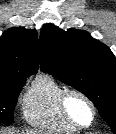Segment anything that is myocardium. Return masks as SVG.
<instances>
[{
  "label": "myocardium",
  "mask_w": 116,
  "mask_h": 134,
  "mask_svg": "<svg viewBox=\"0 0 116 134\" xmlns=\"http://www.w3.org/2000/svg\"><path fill=\"white\" fill-rule=\"evenodd\" d=\"M79 97L81 98L90 108L91 110V121L88 124H81L79 123L70 113L68 109V100L70 97ZM58 106L59 110L64 117V119L78 129H85L91 127L97 118V110L96 106L93 101L82 91L75 89V88H64L61 92L59 99H58Z\"/></svg>",
  "instance_id": "myocardium-1"
}]
</instances>
